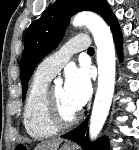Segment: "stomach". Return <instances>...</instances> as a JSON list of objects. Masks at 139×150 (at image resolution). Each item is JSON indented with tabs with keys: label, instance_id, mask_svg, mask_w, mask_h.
I'll list each match as a JSON object with an SVG mask.
<instances>
[{
	"label": "stomach",
	"instance_id": "1",
	"mask_svg": "<svg viewBox=\"0 0 139 150\" xmlns=\"http://www.w3.org/2000/svg\"><path fill=\"white\" fill-rule=\"evenodd\" d=\"M60 150H74V149L71 148V147H68V146L64 145V146H62V147L60 148Z\"/></svg>",
	"mask_w": 139,
	"mask_h": 150
}]
</instances>
